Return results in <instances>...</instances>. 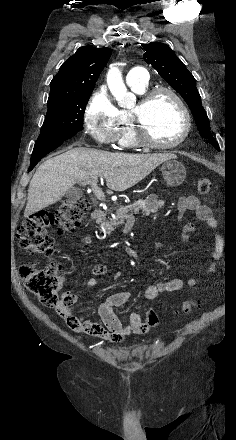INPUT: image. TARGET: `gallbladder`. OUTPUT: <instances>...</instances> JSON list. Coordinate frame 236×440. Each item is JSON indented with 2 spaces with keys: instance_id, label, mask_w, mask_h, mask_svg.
Here are the masks:
<instances>
[{
  "instance_id": "1",
  "label": "gallbladder",
  "mask_w": 236,
  "mask_h": 440,
  "mask_svg": "<svg viewBox=\"0 0 236 440\" xmlns=\"http://www.w3.org/2000/svg\"><path fill=\"white\" fill-rule=\"evenodd\" d=\"M67 196L73 200H77L82 197V192L78 188H72L67 192Z\"/></svg>"
}]
</instances>
